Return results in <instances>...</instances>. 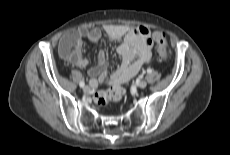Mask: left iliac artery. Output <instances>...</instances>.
Returning a JSON list of instances; mask_svg holds the SVG:
<instances>
[{
	"label": "left iliac artery",
	"instance_id": "1",
	"mask_svg": "<svg viewBox=\"0 0 230 155\" xmlns=\"http://www.w3.org/2000/svg\"><path fill=\"white\" fill-rule=\"evenodd\" d=\"M147 72H148V73H151V72H152V70H151V69H148V70H147Z\"/></svg>",
	"mask_w": 230,
	"mask_h": 155
}]
</instances>
